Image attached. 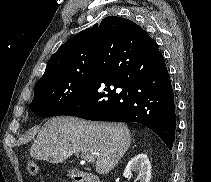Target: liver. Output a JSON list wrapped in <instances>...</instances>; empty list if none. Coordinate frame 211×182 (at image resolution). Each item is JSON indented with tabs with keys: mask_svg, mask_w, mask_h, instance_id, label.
I'll return each instance as SVG.
<instances>
[{
	"mask_svg": "<svg viewBox=\"0 0 211 182\" xmlns=\"http://www.w3.org/2000/svg\"><path fill=\"white\" fill-rule=\"evenodd\" d=\"M131 143L125 124L94 123L76 117L48 120L30 149L31 157L62 163L73 153L94 154L96 172L109 173L124 156Z\"/></svg>",
	"mask_w": 211,
	"mask_h": 182,
	"instance_id": "obj_1",
	"label": "liver"
}]
</instances>
